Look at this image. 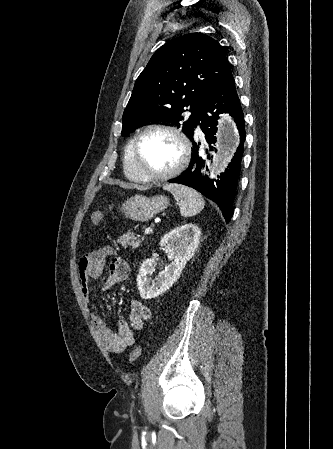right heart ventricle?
Returning <instances> with one entry per match:
<instances>
[{"instance_id":"obj_1","label":"right heart ventricle","mask_w":333,"mask_h":449,"mask_svg":"<svg viewBox=\"0 0 333 449\" xmlns=\"http://www.w3.org/2000/svg\"><path fill=\"white\" fill-rule=\"evenodd\" d=\"M135 138L131 139L128 144L125 147L124 150V173L125 175L133 181H142L140 176L135 170L134 164H133V144H134Z\"/></svg>"}]
</instances>
